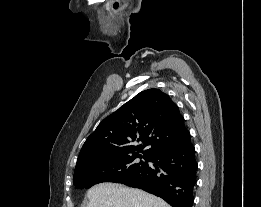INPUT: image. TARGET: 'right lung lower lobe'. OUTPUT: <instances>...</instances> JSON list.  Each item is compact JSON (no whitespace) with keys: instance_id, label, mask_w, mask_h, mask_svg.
Instances as JSON below:
<instances>
[{"instance_id":"98d812e1","label":"right lung lower lobe","mask_w":261,"mask_h":207,"mask_svg":"<svg viewBox=\"0 0 261 207\" xmlns=\"http://www.w3.org/2000/svg\"><path fill=\"white\" fill-rule=\"evenodd\" d=\"M149 161L154 166L147 165L118 183L143 189L163 198L173 207H192L197 162L191 139L152 155Z\"/></svg>"}]
</instances>
